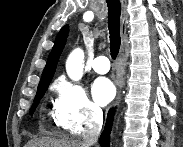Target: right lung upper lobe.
<instances>
[{"mask_svg": "<svg viewBox=\"0 0 183 147\" xmlns=\"http://www.w3.org/2000/svg\"><path fill=\"white\" fill-rule=\"evenodd\" d=\"M68 33V26H64L60 32L58 33L56 40L54 42V46L52 48V51L48 57L46 66L44 68L41 80L38 85L39 88L48 87L52 77L55 73L57 62L59 59V56L63 50V47L65 45L66 37Z\"/></svg>", "mask_w": 183, "mask_h": 147, "instance_id": "cb5924a9", "label": "right lung upper lobe"}]
</instances>
